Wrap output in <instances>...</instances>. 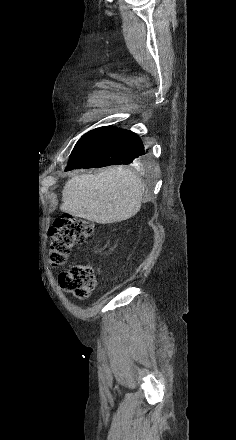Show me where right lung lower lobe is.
<instances>
[{
	"mask_svg": "<svg viewBox=\"0 0 236 440\" xmlns=\"http://www.w3.org/2000/svg\"><path fill=\"white\" fill-rule=\"evenodd\" d=\"M143 155L144 146L137 134L112 126L100 127L80 138L66 170L130 164Z\"/></svg>",
	"mask_w": 236,
	"mask_h": 440,
	"instance_id": "98d812e1",
	"label": "right lung lower lobe"
}]
</instances>
